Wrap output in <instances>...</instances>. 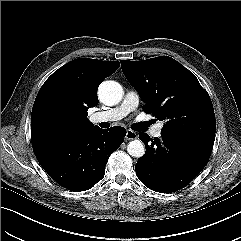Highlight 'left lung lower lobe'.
Listing matches in <instances>:
<instances>
[{
    "instance_id": "0a47b994",
    "label": "left lung lower lobe",
    "mask_w": 241,
    "mask_h": 241,
    "mask_svg": "<svg viewBox=\"0 0 241 241\" xmlns=\"http://www.w3.org/2000/svg\"><path fill=\"white\" fill-rule=\"evenodd\" d=\"M146 153L135 165L139 180L149 189L169 193L193 180L206 166L213 142L161 131V137L150 139L140 133Z\"/></svg>"
}]
</instances>
